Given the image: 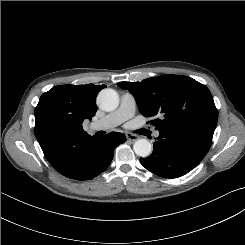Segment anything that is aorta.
Listing matches in <instances>:
<instances>
[{"instance_id":"aorta-1","label":"aorta","mask_w":245,"mask_h":245,"mask_svg":"<svg viewBox=\"0 0 245 245\" xmlns=\"http://www.w3.org/2000/svg\"><path fill=\"white\" fill-rule=\"evenodd\" d=\"M99 107L104 111H113L119 105L118 93L111 88L103 89L97 97ZM134 152L140 157H147L152 151L151 143L146 139H139L133 145Z\"/></svg>"}]
</instances>
